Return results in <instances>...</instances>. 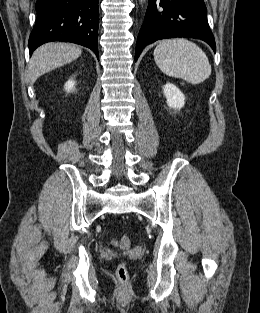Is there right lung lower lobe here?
Returning <instances> with one entry per match:
<instances>
[{"mask_svg": "<svg viewBox=\"0 0 260 313\" xmlns=\"http://www.w3.org/2000/svg\"><path fill=\"white\" fill-rule=\"evenodd\" d=\"M37 19L30 34V54L50 41L86 46L98 53V0H37Z\"/></svg>", "mask_w": 260, "mask_h": 313, "instance_id": "1", "label": "right lung lower lobe"}]
</instances>
